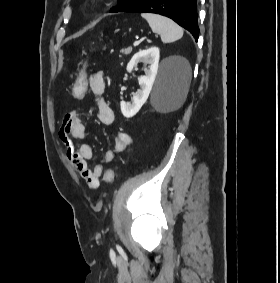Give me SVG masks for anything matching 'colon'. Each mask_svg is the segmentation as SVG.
Returning <instances> with one entry per match:
<instances>
[{"mask_svg":"<svg viewBox=\"0 0 280 283\" xmlns=\"http://www.w3.org/2000/svg\"><path fill=\"white\" fill-rule=\"evenodd\" d=\"M86 62H84L85 64ZM89 70H82L78 74V78L75 79L74 84L71 87L72 99L75 102H82L83 99H86L87 92H91V87H89ZM114 178V172L112 169H109L105 174V180L107 183H111Z\"/></svg>","mask_w":280,"mask_h":283,"instance_id":"colon-1","label":"colon"}]
</instances>
